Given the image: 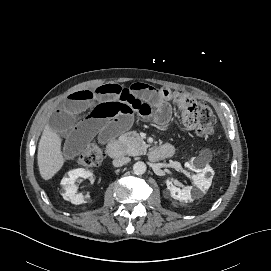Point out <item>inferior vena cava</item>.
I'll use <instances>...</instances> for the list:
<instances>
[{"instance_id":"1","label":"inferior vena cava","mask_w":271,"mask_h":271,"mask_svg":"<svg viewBox=\"0 0 271 271\" xmlns=\"http://www.w3.org/2000/svg\"><path fill=\"white\" fill-rule=\"evenodd\" d=\"M129 161H130L129 157H121V158L113 160V165L115 167H120L124 164H127Z\"/></svg>"}]
</instances>
